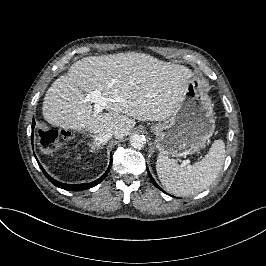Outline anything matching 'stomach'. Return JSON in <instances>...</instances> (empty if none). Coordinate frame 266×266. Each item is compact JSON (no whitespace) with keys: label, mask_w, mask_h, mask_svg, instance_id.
Segmentation results:
<instances>
[{"label":"stomach","mask_w":266,"mask_h":266,"mask_svg":"<svg viewBox=\"0 0 266 266\" xmlns=\"http://www.w3.org/2000/svg\"><path fill=\"white\" fill-rule=\"evenodd\" d=\"M215 127L211 99L201 92L199 81L194 79L173 115L149 128L156 136L155 145L159 152L179 159L202 150Z\"/></svg>","instance_id":"1"}]
</instances>
